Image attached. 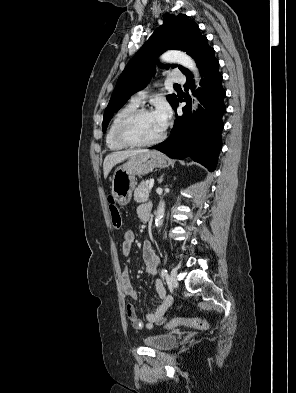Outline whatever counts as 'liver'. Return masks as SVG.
<instances>
[{
  "mask_svg": "<svg viewBox=\"0 0 296 393\" xmlns=\"http://www.w3.org/2000/svg\"><path fill=\"white\" fill-rule=\"evenodd\" d=\"M149 152L146 149H137V150H127V151H117L108 154L103 162V172L104 178H107L108 174L110 173L111 169L118 163L123 162L127 158L132 156L147 153Z\"/></svg>",
  "mask_w": 296,
  "mask_h": 393,
  "instance_id": "1",
  "label": "liver"
}]
</instances>
